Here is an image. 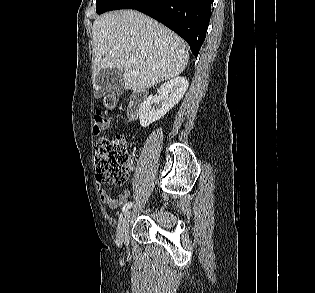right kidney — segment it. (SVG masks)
Instances as JSON below:
<instances>
[{
    "mask_svg": "<svg viewBox=\"0 0 315 293\" xmlns=\"http://www.w3.org/2000/svg\"><path fill=\"white\" fill-rule=\"evenodd\" d=\"M188 80L185 77H176L161 85L158 93L161 106L158 109L152 107L154 97L150 95L143 103L139 121L142 127H147L153 122L164 117L183 97L187 88Z\"/></svg>",
    "mask_w": 315,
    "mask_h": 293,
    "instance_id": "1",
    "label": "right kidney"
}]
</instances>
